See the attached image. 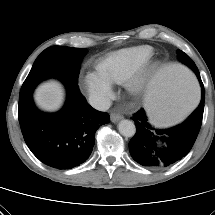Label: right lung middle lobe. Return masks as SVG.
Returning <instances> with one entry per match:
<instances>
[{
    "instance_id": "right-lung-middle-lobe-1",
    "label": "right lung middle lobe",
    "mask_w": 215,
    "mask_h": 215,
    "mask_svg": "<svg viewBox=\"0 0 215 215\" xmlns=\"http://www.w3.org/2000/svg\"><path fill=\"white\" fill-rule=\"evenodd\" d=\"M86 49L52 46L45 49L35 60L22 85L19 96V120L24 119L33 107L34 88L47 78H57L65 85L76 83Z\"/></svg>"
}]
</instances>
